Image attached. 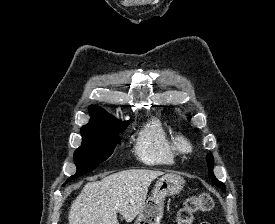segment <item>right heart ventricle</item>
Masks as SVG:
<instances>
[{"mask_svg": "<svg viewBox=\"0 0 275 224\" xmlns=\"http://www.w3.org/2000/svg\"><path fill=\"white\" fill-rule=\"evenodd\" d=\"M134 152L147 165H174L179 156L174 139L157 119L147 121L141 128L136 137Z\"/></svg>", "mask_w": 275, "mask_h": 224, "instance_id": "right-heart-ventricle-1", "label": "right heart ventricle"}]
</instances>
